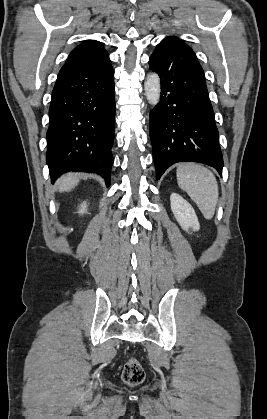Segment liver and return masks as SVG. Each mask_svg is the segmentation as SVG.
Segmentation results:
<instances>
[{
    "label": "liver",
    "instance_id": "obj_1",
    "mask_svg": "<svg viewBox=\"0 0 267 419\" xmlns=\"http://www.w3.org/2000/svg\"><path fill=\"white\" fill-rule=\"evenodd\" d=\"M79 182V176L76 173H68L61 178L59 181L58 190L60 192L70 191L73 189Z\"/></svg>",
    "mask_w": 267,
    "mask_h": 419
}]
</instances>
